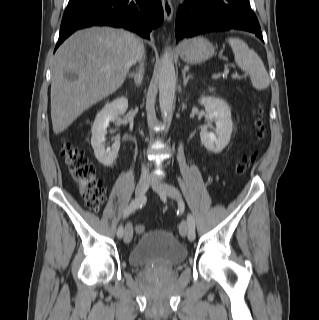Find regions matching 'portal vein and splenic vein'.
<instances>
[{"instance_id": "portal-vein-and-splenic-vein-1", "label": "portal vein and splenic vein", "mask_w": 319, "mask_h": 320, "mask_svg": "<svg viewBox=\"0 0 319 320\" xmlns=\"http://www.w3.org/2000/svg\"><path fill=\"white\" fill-rule=\"evenodd\" d=\"M227 74H228V70H225L223 73V76H225ZM232 77L237 78V77H239V75L237 73H235V74H232Z\"/></svg>"}]
</instances>
